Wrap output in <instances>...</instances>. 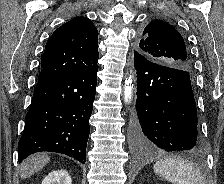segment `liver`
I'll return each instance as SVG.
<instances>
[{
    "mask_svg": "<svg viewBox=\"0 0 224 184\" xmlns=\"http://www.w3.org/2000/svg\"><path fill=\"white\" fill-rule=\"evenodd\" d=\"M50 161L45 154L32 155L25 159L20 166V176L22 179L30 177L34 173L41 170Z\"/></svg>",
    "mask_w": 224,
    "mask_h": 184,
    "instance_id": "6515ba94",
    "label": "liver"
}]
</instances>
